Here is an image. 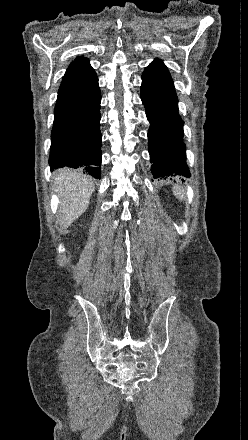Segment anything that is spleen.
Returning a JSON list of instances; mask_svg holds the SVG:
<instances>
[{"instance_id":"obj_1","label":"spleen","mask_w":248,"mask_h":440,"mask_svg":"<svg viewBox=\"0 0 248 440\" xmlns=\"http://www.w3.org/2000/svg\"><path fill=\"white\" fill-rule=\"evenodd\" d=\"M173 193L179 200H183L185 198V192L180 187H173Z\"/></svg>"}]
</instances>
